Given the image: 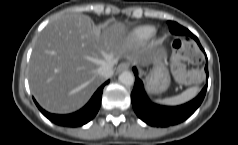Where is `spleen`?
Masks as SVG:
<instances>
[{
  "instance_id": "1",
  "label": "spleen",
  "mask_w": 238,
  "mask_h": 145,
  "mask_svg": "<svg viewBox=\"0 0 238 145\" xmlns=\"http://www.w3.org/2000/svg\"><path fill=\"white\" fill-rule=\"evenodd\" d=\"M199 90L200 88L198 86H193L177 96L158 100L157 102L166 105H179L193 99L198 94Z\"/></svg>"
}]
</instances>
